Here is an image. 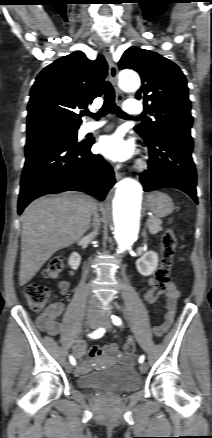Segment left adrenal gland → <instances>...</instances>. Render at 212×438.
Returning <instances> with one entry per match:
<instances>
[{
	"label": "left adrenal gland",
	"mask_w": 212,
	"mask_h": 438,
	"mask_svg": "<svg viewBox=\"0 0 212 438\" xmlns=\"http://www.w3.org/2000/svg\"><path fill=\"white\" fill-rule=\"evenodd\" d=\"M142 235H143L144 237L146 236V232H145V230L143 231Z\"/></svg>",
	"instance_id": "a2214340"
}]
</instances>
